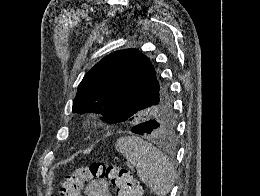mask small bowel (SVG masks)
Returning <instances> with one entry per match:
<instances>
[{
	"instance_id": "1",
	"label": "small bowel",
	"mask_w": 260,
	"mask_h": 196,
	"mask_svg": "<svg viewBox=\"0 0 260 196\" xmlns=\"http://www.w3.org/2000/svg\"><path fill=\"white\" fill-rule=\"evenodd\" d=\"M85 196H111L108 181L104 178L92 180L86 188Z\"/></svg>"
}]
</instances>
